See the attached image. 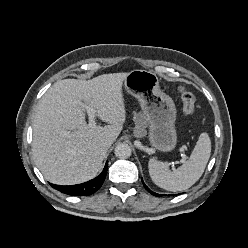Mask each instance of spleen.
I'll use <instances>...</instances> for the list:
<instances>
[{"instance_id": "spleen-1", "label": "spleen", "mask_w": 248, "mask_h": 248, "mask_svg": "<svg viewBox=\"0 0 248 248\" xmlns=\"http://www.w3.org/2000/svg\"><path fill=\"white\" fill-rule=\"evenodd\" d=\"M211 154V140L202 133L190 158L178 169L171 171L168 163L151 158L148 163L153 182L168 191H183L190 188L202 176Z\"/></svg>"}]
</instances>
